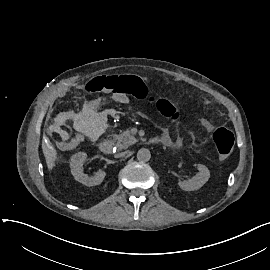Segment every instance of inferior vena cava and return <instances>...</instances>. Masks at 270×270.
<instances>
[{"mask_svg": "<svg viewBox=\"0 0 270 270\" xmlns=\"http://www.w3.org/2000/svg\"><path fill=\"white\" fill-rule=\"evenodd\" d=\"M127 153H128V151L122 152V153H120V156H124V155H126Z\"/></svg>", "mask_w": 270, "mask_h": 270, "instance_id": "602c4592", "label": "inferior vena cava"}]
</instances>
